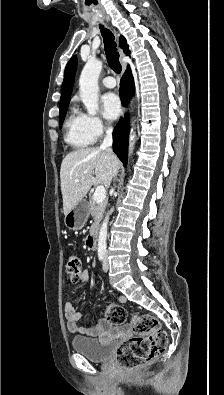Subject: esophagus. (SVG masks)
Masks as SVG:
<instances>
[{
  "instance_id": "esophagus-1",
  "label": "esophagus",
  "mask_w": 224,
  "mask_h": 395,
  "mask_svg": "<svg viewBox=\"0 0 224 395\" xmlns=\"http://www.w3.org/2000/svg\"><path fill=\"white\" fill-rule=\"evenodd\" d=\"M116 38L118 39L117 34H116ZM119 53H120V59H121V64H122V71L124 73L126 70V63L123 61L125 55L121 49H119ZM127 110H128V105L125 104V106L123 107V116L127 113Z\"/></svg>"
}]
</instances>
